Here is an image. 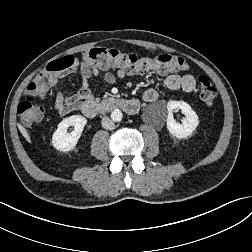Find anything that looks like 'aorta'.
<instances>
[{"instance_id": "obj_1", "label": "aorta", "mask_w": 252, "mask_h": 252, "mask_svg": "<svg viewBox=\"0 0 252 252\" xmlns=\"http://www.w3.org/2000/svg\"><path fill=\"white\" fill-rule=\"evenodd\" d=\"M111 118L115 122H120L122 120V118H123L122 111L119 110V109L113 110L112 113H111Z\"/></svg>"}]
</instances>
